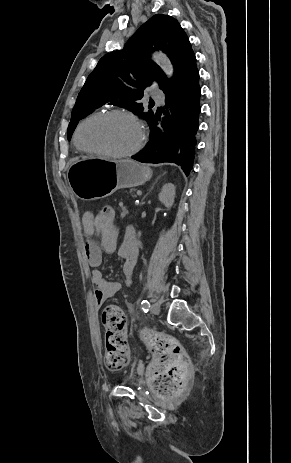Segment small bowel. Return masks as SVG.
Listing matches in <instances>:
<instances>
[{"label":"small bowel","mask_w":291,"mask_h":463,"mask_svg":"<svg viewBox=\"0 0 291 463\" xmlns=\"http://www.w3.org/2000/svg\"><path fill=\"white\" fill-rule=\"evenodd\" d=\"M82 226L86 236L85 257L91 267V282L96 287L94 301L97 307L114 296L121 288L118 281L107 280L98 267L102 263L104 253H116L124 260L122 265L123 283L131 285L134 277V269L138 257V245L135 229L127 226L121 243H118L119 231L116 225L107 226L106 231H99L96 223V215L85 212L82 215ZM97 239L99 241H97Z\"/></svg>","instance_id":"obj_1"}]
</instances>
